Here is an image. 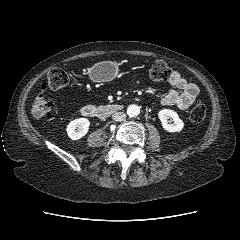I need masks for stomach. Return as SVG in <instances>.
<instances>
[{
	"mask_svg": "<svg viewBox=\"0 0 240 240\" xmlns=\"http://www.w3.org/2000/svg\"><path fill=\"white\" fill-rule=\"evenodd\" d=\"M118 67L113 62H100L95 64L90 70V77L96 82H108L117 75Z\"/></svg>",
	"mask_w": 240,
	"mask_h": 240,
	"instance_id": "1",
	"label": "stomach"
}]
</instances>
